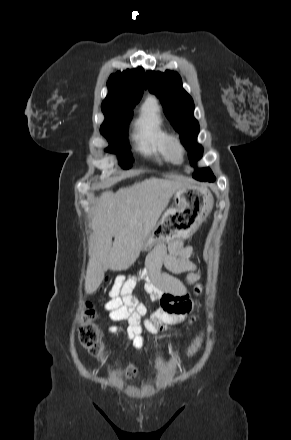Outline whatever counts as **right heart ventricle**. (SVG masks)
<instances>
[{
  "label": "right heart ventricle",
  "instance_id": "e07e8e85",
  "mask_svg": "<svg viewBox=\"0 0 291 440\" xmlns=\"http://www.w3.org/2000/svg\"><path fill=\"white\" fill-rule=\"evenodd\" d=\"M168 136L159 105L153 97H150L142 105L133 123L132 139L136 150L158 162L169 160Z\"/></svg>",
  "mask_w": 291,
  "mask_h": 440
}]
</instances>
